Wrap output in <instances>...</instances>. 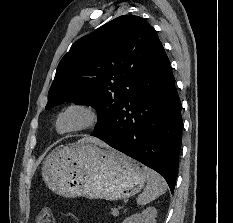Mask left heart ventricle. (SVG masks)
Returning <instances> with one entry per match:
<instances>
[{
	"label": "left heart ventricle",
	"instance_id": "b2bd125f",
	"mask_svg": "<svg viewBox=\"0 0 233 223\" xmlns=\"http://www.w3.org/2000/svg\"><path fill=\"white\" fill-rule=\"evenodd\" d=\"M89 122L90 117L85 111L73 108L60 116L57 122V130L59 132H70L86 126Z\"/></svg>",
	"mask_w": 233,
	"mask_h": 223
}]
</instances>
